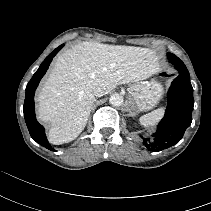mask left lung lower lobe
Returning a JSON list of instances; mask_svg holds the SVG:
<instances>
[{
	"label": "left lung lower lobe",
	"instance_id": "left-lung-lower-lobe-1",
	"mask_svg": "<svg viewBox=\"0 0 211 211\" xmlns=\"http://www.w3.org/2000/svg\"><path fill=\"white\" fill-rule=\"evenodd\" d=\"M179 75L168 92V106L165 116L151 138L143 139L150 151H161L178 143L192 122L194 106L193 88L187 68L178 67Z\"/></svg>",
	"mask_w": 211,
	"mask_h": 211
}]
</instances>
